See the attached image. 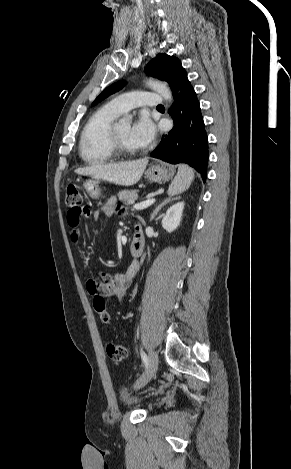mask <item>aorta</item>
Returning a JSON list of instances; mask_svg holds the SVG:
<instances>
[{"mask_svg": "<svg viewBox=\"0 0 291 469\" xmlns=\"http://www.w3.org/2000/svg\"><path fill=\"white\" fill-rule=\"evenodd\" d=\"M146 85L150 88H152L154 91L159 93L165 100L171 101L172 100V92L170 88L165 84L160 81H156L153 79H149L146 82ZM122 124L125 125H130L132 122V116L131 115H125L123 118L120 120Z\"/></svg>", "mask_w": 291, "mask_h": 469, "instance_id": "obj_1", "label": "aorta"}]
</instances>
